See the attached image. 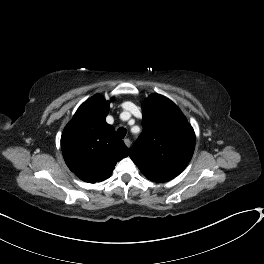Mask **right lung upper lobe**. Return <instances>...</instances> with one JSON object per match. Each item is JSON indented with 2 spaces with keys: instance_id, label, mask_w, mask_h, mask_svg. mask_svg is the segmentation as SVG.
<instances>
[{
  "instance_id": "obj_1",
  "label": "right lung upper lobe",
  "mask_w": 264,
  "mask_h": 264,
  "mask_svg": "<svg viewBox=\"0 0 264 264\" xmlns=\"http://www.w3.org/2000/svg\"><path fill=\"white\" fill-rule=\"evenodd\" d=\"M109 104L101 95H94L78 108L61 136L66 165L85 182L107 179L116 163L129 155L114 128L105 121Z\"/></svg>"
}]
</instances>
